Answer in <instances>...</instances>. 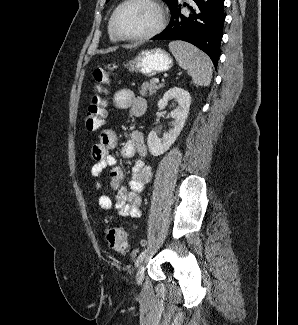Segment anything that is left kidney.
<instances>
[{
	"label": "left kidney",
	"mask_w": 298,
	"mask_h": 325,
	"mask_svg": "<svg viewBox=\"0 0 298 325\" xmlns=\"http://www.w3.org/2000/svg\"><path fill=\"white\" fill-rule=\"evenodd\" d=\"M169 100H176V108H173L169 112V116L174 118L172 128H169L168 132H163L162 138L157 136V132L151 130L147 136L148 148L153 156H159L168 150L169 146L175 142L177 136H179L185 120L188 116L191 104V96L188 90L180 88V86H173L164 92L162 98H159L157 102L158 110H163L167 106Z\"/></svg>",
	"instance_id": "5707ae66"
}]
</instances>
